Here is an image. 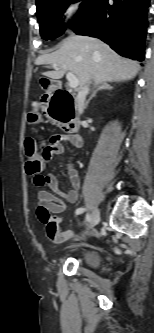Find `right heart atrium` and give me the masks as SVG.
Returning a JSON list of instances; mask_svg holds the SVG:
<instances>
[{"label":"right heart atrium","mask_w":154,"mask_h":333,"mask_svg":"<svg viewBox=\"0 0 154 333\" xmlns=\"http://www.w3.org/2000/svg\"><path fill=\"white\" fill-rule=\"evenodd\" d=\"M80 19V3L78 0H69L62 9V26L67 29H73Z\"/></svg>","instance_id":"d8ad5b80"}]
</instances>
